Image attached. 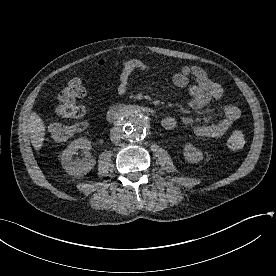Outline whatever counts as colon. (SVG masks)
<instances>
[{
    "label": "colon",
    "mask_w": 276,
    "mask_h": 276,
    "mask_svg": "<svg viewBox=\"0 0 276 276\" xmlns=\"http://www.w3.org/2000/svg\"><path fill=\"white\" fill-rule=\"evenodd\" d=\"M123 67L129 64V61L120 63ZM85 88L80 79L74 78L64 86L58 94L57 114L64 119H78L84 113V107L79 100L84 97ZM85 128L84 123L64 124L58 123L49 127L48 136L50 140L62 142L69 139L75 132ZM227 145L232 150H240L246 145V139L243 132L233 131L227 140Z\"/></svg>",
    "instance_id": "5ec220e1"
}]
</instances>
